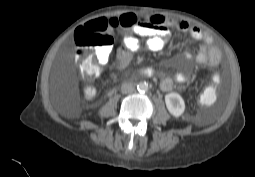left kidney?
<instances>
[{
	"instance_id": "left-kidney-1",
	"label": "left kidney",
	"mask_w": 255,
	"mask_h": 177,
	"mask_svg": "<svg viewBox=\"0 0 255 177\" xmlns=\"http://www.w3.org/2000/svg\"><path fill=\"white\" fill-rule=\"evenodd\" d=\"M165 103L171 115L179 117L185 110L183 98L175 92L165 95Z\"/></svg>"
}]
</instances>
